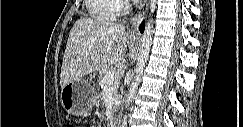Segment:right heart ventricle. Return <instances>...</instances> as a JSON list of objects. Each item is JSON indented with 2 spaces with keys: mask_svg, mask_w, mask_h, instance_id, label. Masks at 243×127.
<instances>
[{
  "mask_svg": "<svg viewBox=\"0 0 243 127\" xmlns=\"http://www.w3.org/2000/svg\"><path fill=\"white\" fill-rule=\"evenodd\" d=\"M119 4L116 0H88L87 11L98 22H112L117 18Z\"/></svg>",
  "mask_w": 243,
  "mask_h": 127,
  "instance_id": "obj_1",
  "label": "right heart ventricle"
}]
</instances>
